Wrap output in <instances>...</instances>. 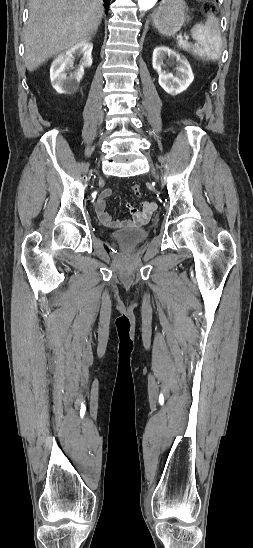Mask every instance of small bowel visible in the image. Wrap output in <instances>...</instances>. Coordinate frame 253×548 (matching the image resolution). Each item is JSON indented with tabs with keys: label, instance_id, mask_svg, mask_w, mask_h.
Masks as SVG:
<instances>
[{
	"label": "small bowel",
	"instance_id": "obj_1",
	"mask_svg": "<svg viewBox=\"0 0 253 548\" xmlns=\"http://www.w3.org/2000/svg\"><path fill=\"white\" fill-rule=\"evenodd\" d=\"M112 196V191L109 189L104 190L98 197L95 203V211L100 222L107 227L121 228V227H136L147 223L156 210V203L152 201H144L140 208L128 204L127 207L132 215L128 220H114L111 215L106 211V202L109 197Z\"/></svg>",
	"mask_w": 253,
	"mask_h": 548
}]
</instances>
